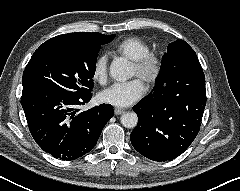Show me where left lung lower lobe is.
<instances>
[{"instance_id": "obj_1", "label": "left lung lower lobe", "mask_w": 240, "mask_h": 191, "mask_svg": "<svg viewBox=\"0 0 240 191\" xmlns=\"http://www.w3.org/2000/svg\"><path fill=\"white\" fill-rule=\"evenodd\" d=\"M205 105L204 73L179 75L133 107L139 119L130 135L133 147L153 161L176 158L197 136Z\"/></svg>"}]
</instances>
